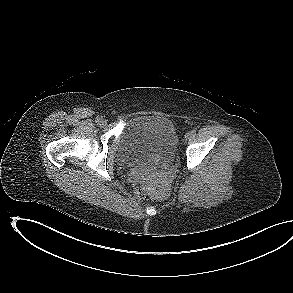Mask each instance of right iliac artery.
I'll return each mask as SVG.
<instances>
[{
	"label": "right iliac artery",
	"mask_w": 293,
	"mask_h": 293,
	"mask_svg": "<svg viewBox=\"0 0 293 293\" xmlns=\"http://www.w3.org/2000/svg\"><path fill=\"white\" fill-rule=\"evenodd\" d=\"M101 119H102V117L97 116V117H96V122H100Z\"/></svg>",
	"instance_id": "1"
}]
</instances>
